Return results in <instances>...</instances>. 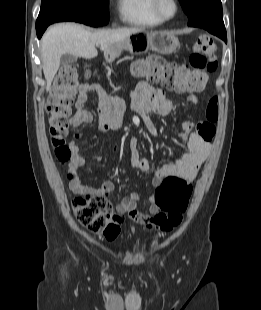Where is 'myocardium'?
Returning a JSON list of instances; mask_svg holds the SVG:
<instances>
[{"mask_svg":"<svg viewBox=\"0 0 261 310\" xmlns=\"http://www.w3.org/2000/svg\"><path fill=\"white\" fill-rule=\"evenodd\" d=\"M171 2L174 5V11H173V13L171 15L166 16L160 10V0H152V9H153V11H154L155 15L160 20H162L163 22L164 21H170V20L174 19L176 17V15L178 14V12H179V2H178V0H171Z\"/></svg>","mask_w":261,"mask_h":310,"instance_id":"1","label":"myocardium"}]
</instances>
